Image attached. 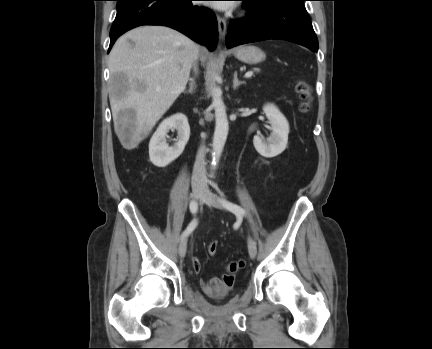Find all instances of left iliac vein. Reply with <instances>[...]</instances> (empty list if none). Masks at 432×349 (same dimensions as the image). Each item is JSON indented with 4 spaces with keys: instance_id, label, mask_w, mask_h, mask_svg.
Returning a JSON list of instances; mask_svg holds the SVG:
<instances>
[{
    "instance_id": "obj_1",
    "label": "left iliac vein",
    "mask_w": 432,
    "mask_h": 349,
    "mask_svg": "<svg viewBox=\"0 0 432 349\" xmlns=\"http://www.w3.org/2000/svg\"><path fill=\"white\" fill-rule=\"evenodd\" d=\"M201 200L204 201L205 203L212 205L214 207L217 208H223V204L221 199L213 194L211 191H209L208 189H205L202 196H201ZM248 252L251 258H255L256 254H257V245L255 240L249 236L248 237Z\"/></svg>"
}]
</instances>
